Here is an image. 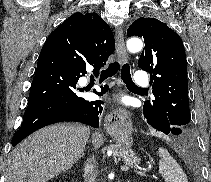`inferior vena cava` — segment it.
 <instances>
[{
	"label": "inferior vena cava",
	"mask_w": 211,
	"mask_h": 182,
	"mask_svg": "<svg viewBox=\"0 0 211 182\" xmlns=\"http://www.w3.org/2000/svg\"><path fill=\"white\" fill-rule=\"evenodd\" d=\"M84 177L86 182H94L95 180V160L94 156L86 163L84 167Z\"/></svg>",
	"instance_id": "inferior-vena-cava-1"
}]
</instances>
